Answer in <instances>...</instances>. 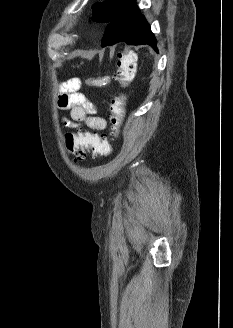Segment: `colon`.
<instances>
[{"mask_svg": "<svg viewBox=\"0 0 233 328\" xmlns=\"http://www.w3.org/2000/svg\"><path fill=\"white\" fill-rule=\"evenodd\" d=\"M136 59L133 52L118 54L116 81L121 85H127L134 77ZM125 115V97L119 94L112 99L110 108V120L113 133L118 136ZM65 146L72 156L73 163L79 164L86 160L89 153L95 158H103L111 153L110 144L102 137L90 134H70L66 136Z\"/></svg>", "mask_w": 233, "mask_h": 328, "instance_id": "obj_1", "label": "colon"}]
</instances>
